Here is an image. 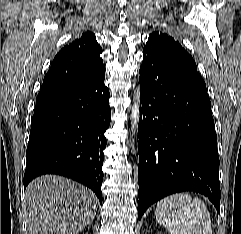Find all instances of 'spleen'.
I'll return each mask as SVG.
<instances>
[{
    "mask_svg": "<svg viewBox=\"0 0 241 234\" xmlns=\"http://www.w3.org/2000/svg\"><path fill=\"white\" fill-rule=\"evenodd\" d=\"M156 219L170 234H212L204 202L190 194L176 193L157 203Z\"/></svg>",
    "mask_w": 241,
    "mask_h": 234,
    "instance_id": "3e777b00",
    "label": "spleen"
}]
</instances>
